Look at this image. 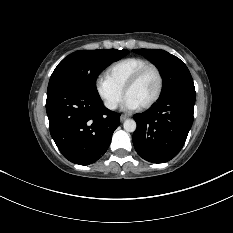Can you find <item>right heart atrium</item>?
I'll return each mask as SVG.
<instances>
[{
	"label": "right heart atrium",
	"mask_w": 233,
	"mask_h": 233,
	"mask_svg": "<svg viewBox=\"0 0 233 233\" xmlns=\"http://www.w3.org/2000/svg\"><path fill=\"white\" fill-rule=\"evenodd\" d=\"M95 90L103 105L115 110L123 99V90L117 87L107 76L100 75L95 80Z\"/></svg>",
	"instance_id": "right-heart-atrium-1"
}]
</instances>
